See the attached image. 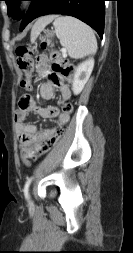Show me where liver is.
<instances>
[{"label": "liver", "mask_w": 133, "mask_h": 253, "mask_svg": "<svg viewBox=\"0 0 133 253\" xmlns=\"http://www.w3.org/2000/svg\"><path fill=\"white\" fill-rule=\"evenodd\" d=\"M55 15H47L39 18L32 27L31 37L36 38L40 32L55 18Z\"/></svg>", "instance_id": "6515ba94"}]
</instances>
